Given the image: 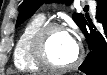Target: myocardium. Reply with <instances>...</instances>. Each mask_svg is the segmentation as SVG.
<instances>
[{"label":"myocardium","mask_w":107,"mask_h":75,"mask_svg":"<svg viewBox=\"0 0 107 75\" xmlns=\"http://www.w3.org/2000/svg\"><path fill=\"white\" fill-rule=\"evenodd\" d=\"M54 30H63L64 27L58 23H45L42 25L32 36L30 41V52L34 60L41 65L43 68L55 70V71H64L70 70L76 67L82 57V50L77 46V52L75 58L68 64L60 65L54 63L47 52V38L48 35Z\"/></svg>","instance_id":"obj_1"}]
</instances>
